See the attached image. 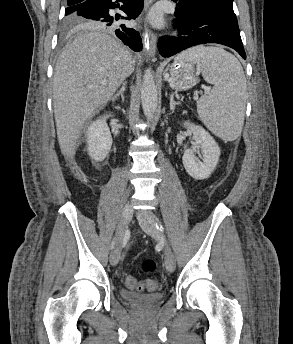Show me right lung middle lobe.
I'll use <instances>...</instances> for the list:
<instances>
[{
  "instance_id": "obj_1",
  "label": "right lung middle lobe",
  "mask_w": 293,
  "mask_h": 344,
  "mask_svg": "<svg viewBox=\"0 0 293 344\" xmlns=\"http://www.w3.org/2000/svg\"><path fill=\"white\" fill-rule=\"evenodd\" d=\"M65 9V15L67 16L64 21L63 32L65 34L73 33L79 29H88L95 27V23L86 20L76 13L78 4L68 5Z\"/></svg>"
}]
</instances>
